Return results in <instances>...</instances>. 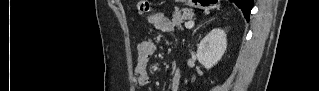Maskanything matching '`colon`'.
Wrapping results in <instances>:
<instances>
[{"mask_svg":"<svg viewBox=\"0 0 319 91\" xmlns=\"http://www.w3.org/2000/svg\"><path fill=\"white\" fill-rule=\"evenodd\" d=\"M150 11V2L149 1H139L138 2V13L140 15H146Z\"/></svg>","mask_w":319,"mask_h":91,"instance_id":"5ec220e1","label":"colon"}]
</instances>
